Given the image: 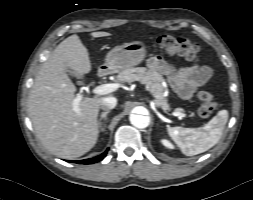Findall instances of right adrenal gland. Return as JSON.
<instances>
[{
	"label": "right adrenal gland",
	"mask_w": 253,
	"mask_h": 200,
	"mask_svg": "<svg viewBox=\"0 0 253 200\" xmlns=\"http://www.w3.org/2000/svg\"><path fill=\"white\" fill-rule=\"evenodd\" d=\"M109 112H110L109 110H106V111L102 112L101 115H100L98 124H99V127H100L101 131L105 130L107 115H108ZM102 120H104L103 126H102Z\"/></svg>",
	"instance_id": "1"
}]
</instances>
